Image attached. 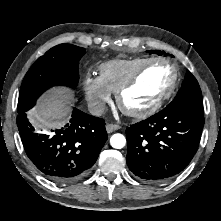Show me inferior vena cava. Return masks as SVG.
I'll return each mask as SVG.
<instances>
[{
  "instance_id": "602c4592",
  "label": "inferior vena cava",
  "mask_w": 221,
  "mask_h": 221,
  "mask_svg": "<svg viewBox=\"0 0 221 221\" xmlns=\"http://www.w3.org/2000/svg\"><path fill=\"white\" fill-rule=\"evenodd\" d=\"M88 110L94 116H101L106 112V106L103 101H92L88 103Z\"/></svg>"
}]
</instances>
